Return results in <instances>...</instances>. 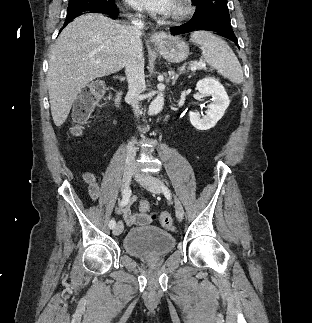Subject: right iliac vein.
<instances>
[{
    "instance_id": "63e3f726",
    "label": "right iliac vein",
    "mask_w": 312,
    "mask_h": 323,
    "mask_svg": "<svg viewBox=\"0 0 312 323\" xmlns=\"http://www.w3.org/2000/svg\"><path fill=\"white\" fill-rule=\"evenodd\" d=\"M132 176H133V169L130 166L125 165V168L123 170V177H122L123 192H124V190L129 189V186H130V183L132 180ZM122 231H123V224H122V222H118L114 227L113 234L117 236V235H120L122 233Z\"/></svg>"
}]
</instances>
